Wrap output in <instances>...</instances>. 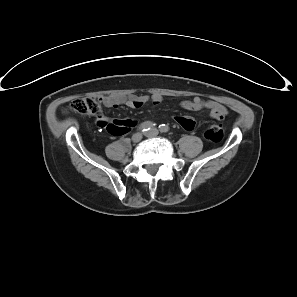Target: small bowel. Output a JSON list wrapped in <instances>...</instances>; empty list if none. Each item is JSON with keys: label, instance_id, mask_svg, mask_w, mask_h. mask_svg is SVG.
Masks as SVG:
<instances>
[{"label": "small bowel", "instance_id": "small-bowel-1", "mask_svg": "<svg viewBox=\"0 0 297 297\" xmlns=\"http://www.w3.org/2000/svg\"><path fill=\"white\" fill-rule=\"evenodd\" d=\"M151 101L154 104H159L162 97L159 95L148 96H130V97H104L103 103L106 107L117 108L118 106L125 105L129 108L138 109L143 107L146 103ZM181 106L190 111H197L201 109H208L210 117L215 120H223L228 111L226 107L220 103L212 100H203L195 97L192 100L181 102ZM177 123L186 130L193 129L195 122L189 116L176 117ZM134 123L131 119H115L110 121L108 118L102 116L100 119L94 121V126L100 130H107L113 134L126 133L128 128Z\"/></svg>", "mask_w": 297, "mask_h": 297}]
</instances>
